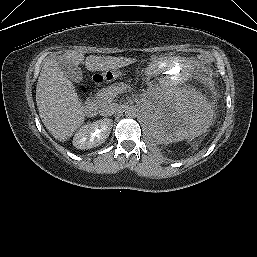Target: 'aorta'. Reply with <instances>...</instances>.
Segmentation results:
<instances>
[{
    "label": "aorta",
    "instance_id": "762f6f07",
    "mask_svg": "<svg viewBox=\"0 0 257 257\" xmlns=\"http://www.w3.org/2000/svg\"><path fill=\"white\" fill-rule=\"evenodd\" d=\"M125 115L129 118H135L138 115V109L135 106H126Z\"/></svg>",
    "mask_w": 257,
    "mask_h": 257
}]
</instances>
